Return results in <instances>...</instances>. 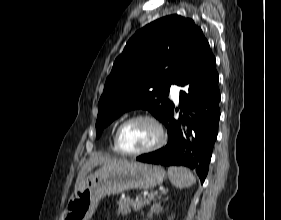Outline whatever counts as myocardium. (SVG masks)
I'll return each instance as SVG.
<instances>
[{"instance_id":"obj_1","label":"myocardium","mask_w":281,"mask_h":220,"mask_svg":"<svg viewBox=\"0 0 281 220\" xmlns=\"http://www.w3.org/2000/svg\"><path fill=\"white\" fill-rule=\"evenodd\" d=\"M137 120H146V121L153 123L156 126L157 131H158V139L154 144H152L151 146L144 148L142 150L126 151L122 148L121 143H120L121 132L125 126H127L131 122H134ZM165 142H166V133H165L162 123L156 117L149 115V114H137V115H134V116L126 119L119 125V127L116 130L115 136H114V145H115L116 150L120 154L125 155V156H139V155L154 152V151L158 150L159 148H161L165 144Z\"/></svg>"}]
</instances>
